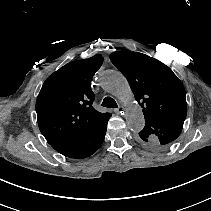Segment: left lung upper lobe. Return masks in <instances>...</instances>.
Segmentation results:
<instances>
[{
    "label": "left lung upper lobe",
    "mask_w": 211,
    "mask_h": 211,
    "mask_svg": "<svg viewBox=\"0 0 211 211\" xmlns=\"http://www.w3.org/2000/svg\"><path fill=\"white\" fill-rule=\"evenodd\" d=\"M110 59L127 78L143 108L145 127L139 132L143 143L156 150L172 143L180 135L187 114L182 82L168 66L142 53L118 51Z\"/></svg>",
    "instance_id": "1"
}]
</instances>
